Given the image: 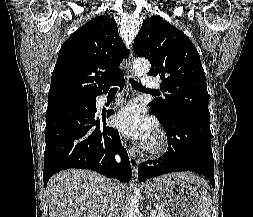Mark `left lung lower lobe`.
I'll return each instance as SVG.
<instances>
[{"mask_svg": "<svg viewBox=\"0 0 253 217\" xmlns=\"http://www.w3.org/2000/svg\"><path fill=\"white\" fill-rule=\"evenodd\" d=\"M152 113L154 114L153 111ZM157 118L166 132L168 151L162 159L141 163L138 170L139 180L145 181L176 171H194L204 175L214 189L210 115L177 110L167 118Z\"/></svg>", "mask_w": 253, "mask_h": 217, "instance_id": "0a47b994", "label": "left lung lower lobe"}]
</instances>
